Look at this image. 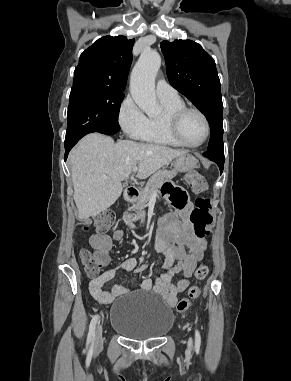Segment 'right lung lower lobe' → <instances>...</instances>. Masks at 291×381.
<instances>
[{
  "instance_id": "obj_1",
  "label": "right lung lower lobe",
  "mask_w": 291,
  "mask_h": 381,
  "mask_svg": "<svg viewBox=\"0 0 291 381\" xmlns=\"http://www.w3.org/2000/svg\"><path fill=\"white\" fill-rule=\"evenodd\" d=\"M120 127H111V128H108V129H103V130H100L99 133H102V134H106V135H112V134H115L119 131ZM81 139V138H80ZM79 139V140H80ZM78 140V141H79ZM78 141H74V142H65V160L67 159L68 157V153L69 151L71 150V148L78 142Z\"/></svg>"
}]
</instances>
